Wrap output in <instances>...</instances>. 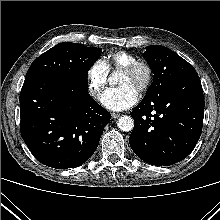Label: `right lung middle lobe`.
Listing matches in <instances>:
<instances>
[{
	"label": "right lung middle lobe",
	"instance_id": "right-lung-middle-lobe-1",
	"mask_svg": "<svg viewBox=\"0 0 220 220\" xmlns=\"http://www.w3.org/2000/svg\"><path fill=\"white\" fill-rule=\"evenodd\" d=\"M101 48L63 42L55 45L31 64L26 78L36 75H71L87 78L91 66L100 57Z\"/></svg>",
	"mask_w": 220,
	"mask_h": 220
}]
</instances>
